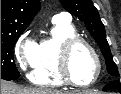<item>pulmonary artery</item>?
<instances>
[{
  "label": "pulmonary artery",
  "mask_w": 121,
  "mask_h": 94,
  "mask_svg": "<svg viewBox=\"0 0 121 94\" xmlns=\"http://www.w3.org/2000/svg\"><path fill=\"white\" fill-rule=\"evenodd\" d=\"M56 19L68 22L69 15L67 13H60V14L56 15Z\"/></svg>",
  "instance_id": "obj_1"
}]
</instances>
